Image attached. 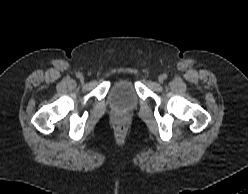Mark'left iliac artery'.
Returning a JSON list of instances; mask_svg holds the SVG:
<instances>
[{
	"label": "left iliac artery",
	"instance_id": "left-iliac-artery-1",
	"mask_svg": "<svg viewBox=\"0 0 248 194\" xmlns=\"http://www.w3.org/2000/svg\"><path fill=\"white\" fill-rule=\"evenodd\" d=\"M163 78L164 79H167V74H163Z\"/></svg>",
	"mask_w": 248,
	"mask_h": 194
}]
</instances>
